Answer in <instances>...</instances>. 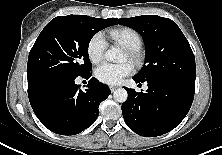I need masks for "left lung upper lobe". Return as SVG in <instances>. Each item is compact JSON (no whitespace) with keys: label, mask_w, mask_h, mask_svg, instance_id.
<instances>
[{"label":"left lung upper lobe","mask_w":222,"mask_h":155,"mask_svg":"<svg viewBox=\"0 0 222 155\" xmlns=\"http://www.w3.org/2000/svg\"><path fill=\"white\" fill-rule=\"evenodd\" d=\"M117 23L136 30L146 45V60L135 78L141 81L170 78L195 85V57L175 22L157 15H143L117 19Z\"/></svg>","instance_id":"obj_1"}]
</instances>
